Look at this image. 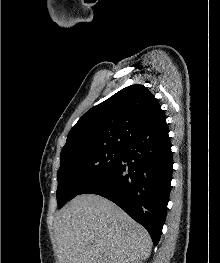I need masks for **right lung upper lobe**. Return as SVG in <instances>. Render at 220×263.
I'll return each instance as SVG.
<instances>
[{
  "instance_id": "1",
  "label": "right lung upper lobe",
  "mask_w": 220,
  "mask_h": 263,
  "mask_svg": "<svg viewBox=\"0 0 220 263\" xmlns=\"http://www.w3.org/2000/svg\"><path fill=\"white\" fill-rule=\"evenodd\" d=\"M168 132L166 116L143 85L128 86L89 109L73 126L61 155L96 148L124 149L140 138Z\"/></svg>"
}]
</instances>
